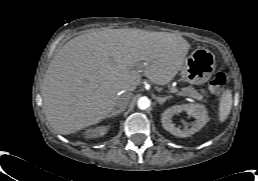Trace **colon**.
<instances>
[{
	"label": "colon",
	"mask_w": 258,
	"mask_h": 181,
	"mask_svg": "<svg viewBox=\"0 0 258 181\" xmlns=\"http://www.w3.org/2000/svg\"><path fill=\"white\" fill-rule=\"evenodd\" d=\"M227 81L226 75L223 72H217L210 82V88L215 93H220Z\"/></svg>",
	"instance_id": "obj_1"
}]
</instances>
